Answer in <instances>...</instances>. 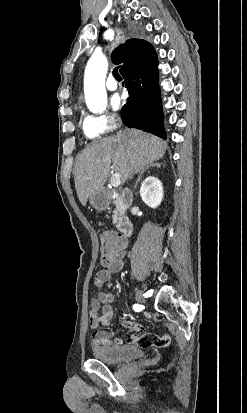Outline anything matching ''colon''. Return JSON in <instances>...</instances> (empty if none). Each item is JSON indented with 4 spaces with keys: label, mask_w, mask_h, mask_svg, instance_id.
I'll use <instances>...</instances> for the list:
<instances>
[{
    "label": "colon",
    "mask_w": 247,
    "mask_h": 413,
    "mask_svg": "<svg viewBox=\"0 0 247 413\" xmlns=\"http://www.w3.org/2000/svg\"><path fill=\"white\" fill-rule=\"evenodd\" d=\"M123 238L113 233H103L97 258L103 262L113 261L122 256Z\"/></svg>",
    "instance_id": "colon-1"
}]
</instances>
